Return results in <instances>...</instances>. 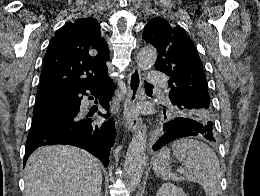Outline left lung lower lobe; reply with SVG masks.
I'll return each mask as SVG.
<instances>
[{
	"instance_id": "0a47b994",
	"label": "left lung lower lobe",
	"mask_w": 260,
	"mask_h": 196,
	"mask_svg": "<svg viewBox=\"0 0 260 196\" xmlns=\"http://www.w3.org/2000/svg\"><path fill=\"white\" fill-rule=\"evenodd\" d=\"M163 131V135L152 147L155 151L175 139L187 136L202 135L205 139L215 142L214 124L204 125L192 119L177 118L172 120L164 126Z\"/></svg>"
}]
</instances>
